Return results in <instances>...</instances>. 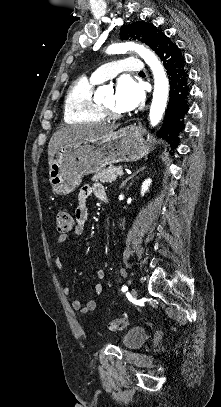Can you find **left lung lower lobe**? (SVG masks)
<instances>
[{"label": "left lung lower lobe", "mask_w": 221, "mask_h": 407, "mask_svg": "<svg viewBox=\"0 0 221 407\" xmlns=\"http://www.w3.org/2000/svg\"><path fill=\"white\" fill-rule=\"evenodd\" d=\"M157 55L163 61L170 83V99L158 135L167 140L172 148H176L178 133L184 128L182 119L189 110V75L180 49L165 34L160 40Z\"/></svg>", "instance_id": "obj_1"}]
</instances>
